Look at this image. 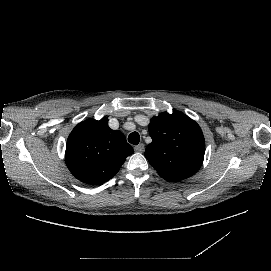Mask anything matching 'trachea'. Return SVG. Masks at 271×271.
Here are the masks:
<instances>
[{
	"instance_id": "3493384b",
	"label": "trachea",
	"mask_w": 271,
	"mask_h": 271,
	"mask_svg": "<svg viewBox=\"0 0 271 271\" xmlns=\"http://www.w3.org/2000/svg\"><path fill=\"white\" fill-rule=\"evenodd\" d=\"M128 141L131 144L137 145L140 142V136L137 132H132L129 136H128Z\"/></svg>"
}]
</instances>
